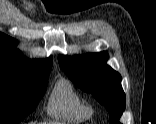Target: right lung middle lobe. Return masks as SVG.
I'll list each match as a JSON object with an SVG mask.
<instances>
[{
    "label": "right lung middle lobe",
    "instance_id": "1",
    "mask_svg": "<svg viewBox=\"0 0 156 124\" xmlns=\"http://www.w3.org/2000/svg\"><path fill=\"white\" fill-rule=\"evenodd\" d=\"M48 76L0 73V124H16L33 112L46 91Z\"/></svg>",
    "mask_w": 156,
    "mask_h": 124
}]
</instances>
